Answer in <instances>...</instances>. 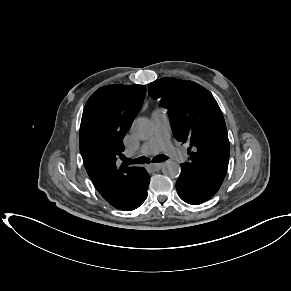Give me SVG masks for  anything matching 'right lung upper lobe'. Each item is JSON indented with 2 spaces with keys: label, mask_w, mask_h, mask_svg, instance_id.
<instances>
[{
  "label": "right lung upper lobe",
  "mask_w": 291,
  "mask_h": 291,
  "mask_svg": "<svg viewBox=\"0 0 291 291\" xmlns=\"http://www.w3.org/2000/svg\"><path fill=\"white\" fill-rule=\"evenodd\" d=\"M144 85H107L88 99L82 114L79 145L86 171L104 199L114 207L137 189L139 167L119 166L122 139L138 114Z\"/></svg>",
  "instance_id": "1"
}]
</instances>
